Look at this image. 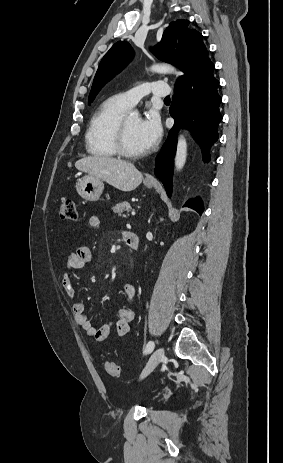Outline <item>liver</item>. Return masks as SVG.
<instances>
[{
  "mask_svg": "<svg viewBox=\"0 0 283 463\" xmlns=\"http://www.w3.org/2000/svg\"><path fill=\"white\" fill-rule=\"evenodd\" d=\"M76 169L128 192L142 182V173L131 163L109 156H88L75 163Z\"/></svg>",
  "mask_w": 283,
  "mask_h": 463,
  "instance_id": "liver-1",
  "label": "liver"
}]
</instances>
